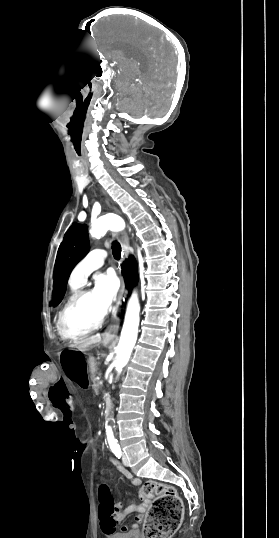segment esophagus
<instances>
[{"label":"esophagus","mask_w":279,"mask_h":538,"mask_svg":"<svg viewBox=\"0 0 279 538\" xmlns=\"http://www.w3.org/2000/svg\"><path fill=\"white\" fill-rule=\"evenodd\" d=\"M121 246H122V251H123L122 261H124L128 257V247H129V238L125 231L121 233ZM123 293H124V280H123V277L121 276V287L118 292L116 305H114L112 309L111 322L103 333L104 339H114L117 336L118 328H119V319L117 317V312L121 305Z\"/></svg>","instance_id":"1"}]
</instances>
